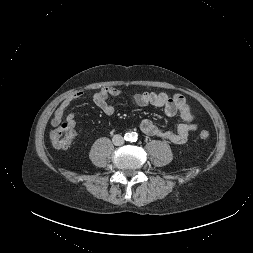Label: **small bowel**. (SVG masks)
Listing matches in <instances>:
<instances>
[{
  "mask_svg": "<svg viewBox=\"0 0 253 253\" xmlns=\"http://www.w3.org/2000/svg\"><path fill=\"white\" fill-rule=\"evenodd\" d=\"M83 92L77 91L67 96L57 107L52 118L51 124L57 127L64 119L65 112L70 104L82 97ZM121 95V90L114 87L102 88L93 95L94 104L99 107L105 114L112 115L115 111L114 106L110 103V98ZM132 102L137 106H154L164 110L168 116L179 114L182 122L174 129H162L154 121L144 119L140 123V129L143 133L169 141L174 144H184L187 142L191 132L198 127L196 116L192 107L181 94L168 95L165 92L145 91L133 96ZM66 122L75 128V114L69 113L66 116Z\"/></svg>",
  "mask_w": 253,
  "mask_h": 253,
  "instance_id": "c3829d8e",
  "label": "small bowel"
}]
</instances>
